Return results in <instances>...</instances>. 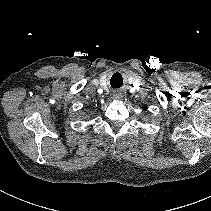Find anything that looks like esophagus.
Instances as JSON below:
<instances>
[{"label":"esophagus","instance_id":"1","mask_svg":"<svg viewBox=\"0 0 211 211\" xmlns=\"http://www.w3.org/2000/svg\"><path fill=\"white\" fill-rule=\"evenodd\" d=\"M116 98H117V99H119V98H120V96H116Z\"/></svg>","mask_w":211,"mask_h":211}]
</instances>
